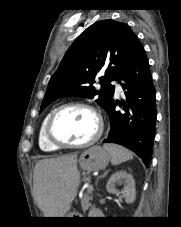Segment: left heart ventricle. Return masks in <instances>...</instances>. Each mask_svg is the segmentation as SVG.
Segmentation results:
<instances>
[{
  "label": "left heart ventricle",
  "instance_id": "left-heart-ventricle-1",
  "mask_svg": "<svg viewBox=\"0 0 181 227\" xmlns=\"http://www.w3.org/2000/svg\"><path fill=\"white\" fill-rule=\"evenodd\" d=\"M94 116L83 108L72 107L61 111L53 125L54 135L68 143H81L89 140L96 132Z\"/></svg>",
  "mask_w": 181,
  "mask_h": 227
}]
</instances>
